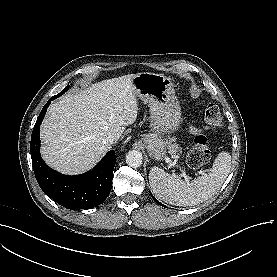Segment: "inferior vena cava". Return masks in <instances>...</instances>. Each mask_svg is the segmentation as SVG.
I'll return each instance as SVG.
<instances>
[{
    "instance_id": "inferior-vena-cava-1",
    "label": "inferior vena cava",
    "mask_w": 277,
    "mask_h": 277,
    "mask_svg": "<svg viewBox=\"0 0 277 277\" xmlns=\"http://www.w3.org/2000/svg\"><path fill=\"white\" fill-rule=\"evenodd\" d=\"M119 139V136L116 134H110L107 136V138L105 139V143L108 145H112L114 143H116Z\"/></svg>"
}]
</instances>
